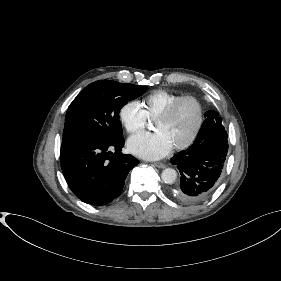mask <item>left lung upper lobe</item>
I'll list each match as a JSON object with an SVG mask.
<instances>
[{
  "mask_svg": "<svg viewBox=\"0 0 281 281\" xmlns=\"http://www.w3.org/2000/svg\"><path fill=\"white\" fill-rule=\"evenodd\" d=\"M209 112V111H208ZM213 113H212V117H214V118H219L218 117V113L217 112H215V111H212ZM217 121L221 124V119L219 118V119H217ZM222 125V124H221ZM224 128V127H223Z\"/></svg>",
  "mask_w": 281,
  "mask_h": 281,
  "instance_id": "5c2ea615",
  "label": "left lung upper lobe"
}]
</instances>
